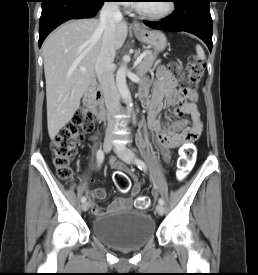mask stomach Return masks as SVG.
Masks as SVG:
<instances>
[{"mask_svg":"<svg viewBox=\"0 0 258 275\" xmlns=\"http://www.w3.org/2000/svg\"><path fill=\"white\" fill-rule=\"evenodd\" d=\"M136 38L149 47L153 48L154 53L162 52L167 45V38L165 34L159 30L141 29L134 31Z\"/></svg>","mask_w":258,"mask_h":275,"instance_id":"obj_1","label":"stomach"}]
</instances>
